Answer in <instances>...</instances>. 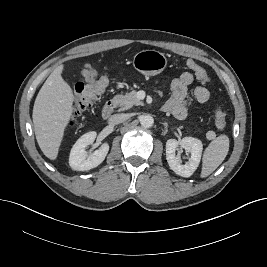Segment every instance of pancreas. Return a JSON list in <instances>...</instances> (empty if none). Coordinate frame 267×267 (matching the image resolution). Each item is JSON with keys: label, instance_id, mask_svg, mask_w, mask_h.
<instances>
[{"label": "pancreas", "instance_id": "pancreas-1", "mask_svg": "<svg viewBox=\"0 0 267 267\" xmlns=\"http://www.w3.org/2000/svg\"><path fill=\"white\" fill-rule=\"evenodd\" d=\"M113 102L116 106H119L121 110H127L131 108L133 105H141L142 102L137 99L136 91L132 90L125 95L119 94L113 98Z\"/></svg>", "mask_w": 267, "mask_h": 267}]
</instances>
